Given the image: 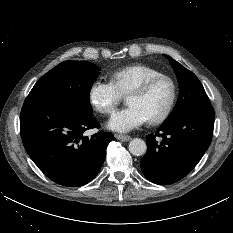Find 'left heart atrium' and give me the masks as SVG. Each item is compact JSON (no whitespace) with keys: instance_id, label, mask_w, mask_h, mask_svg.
Instances as JSON below:
<instances>
[{"instance_id":"39dd6f15","label":"left heart atrium","mask_w":233,"mask_h":233,"mask_svg":"<svg viewBox=\"0 0 233 233\" xmlns=\"http://www.w3.org/2000/svg\"><path fill=\"white\" fill-rule=\"evenodd\" d=\"M148 121L145 114L136 106L128 107L115 113L108 122V127L117 132H127Z\"/></svg>"}]
</instances>
